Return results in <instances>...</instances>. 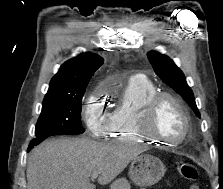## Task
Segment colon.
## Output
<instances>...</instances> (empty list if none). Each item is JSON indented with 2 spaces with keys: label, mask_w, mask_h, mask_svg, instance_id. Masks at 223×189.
<instances>
[{
  "label": "colon",
  "mask_w": 223,
  "mask_h": 189,
  "mask_svg": "<svg viewBox=\"0 0 223 189\" xmlns=\"http://www.w3.org/2000/svg\"><path fill=\"white\" fill-rule=\"evenodd\" d=\"M178 169L180 175L189 181L188 189H200L198 185L199 173L195 165L184 162L179 165Z\"/></svg>",
  "instance_id": "obj_1"
}]
</instances>
